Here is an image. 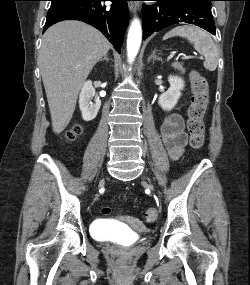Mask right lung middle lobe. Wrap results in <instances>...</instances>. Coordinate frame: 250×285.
<instances>
[{
    "instance_id": "dd1d6c3e",
    "label": "right lung middle lobe",
    "mask_w": 250,
    "mask_h": 285,
    "mask_svg": "<svg viewBox=\"0 0 250 285\" xmlns=\"http://www.w3.org/2000/svg\"><path fill=\"white\" fill-rule=\"evenodd\" d=\"M66 1H70V0H51V2H52L51 5H56V4L63 3Z\"/></svg>"
}]
</instances>
